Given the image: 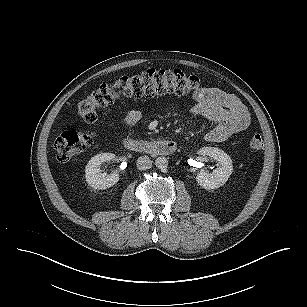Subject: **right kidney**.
<instances>
[{
	"mask_svg": "<svg viewBox=\"0 0 307 307\" xmlns=\"http://www.w3.org/2000/svg\"><path fill=\"white\" fill-rule=\"evenodd\" d=\"M115 158L112 153H100L91 158L85 167V177L89 186L94 189L104 190L115 185L119 181V174L114 172L110 175L102 173L101 164Z\"/></svg>",
	"mask_w": 307,
	"mask_h": 307,
	"instance_id": "obj_1",
	"label": "right kidney"
}]
</instances>
